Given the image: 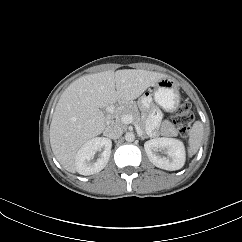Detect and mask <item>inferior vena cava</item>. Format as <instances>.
Wrapping results in <instances>:
<instances>
[{
	"label": "inferior vena cava",
	"mask_w": 242,
	"mask_h": 242,
	"mask_svg": "<svg viewBox=\"0 0 242 242\" xmlns=\"http://www.w3.org/2000/svg\"><path fill=\"white\" fill-rule=\"evenodd\" d=\"M123 133V129L118 124L109 125L106 129L104 134L110 139H118Z\"/></svg>",
	"instance_id": "602c4592"
}]
</instances>
